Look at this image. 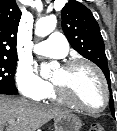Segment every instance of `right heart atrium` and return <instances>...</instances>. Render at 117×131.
Segmentation results:
<instances>
[{
	"instance_id": "d8ad5b80",
	"label": "right heart atrium",
	"mask_w": 117,
	"mask_h": 131,
	"mask_svg": "<svg viewBox=\"0 0 117 131\" xmlns=\"http://www.w3.org/2000/svg\"><path fill=\"white\" fill-rule=\"evenodd\" d=\"M15 81L20 93L32 100L45 98L51 89L49 82L40 78L29 66L24 64L18 66Z\"/></svg>"
}]
</instances>
